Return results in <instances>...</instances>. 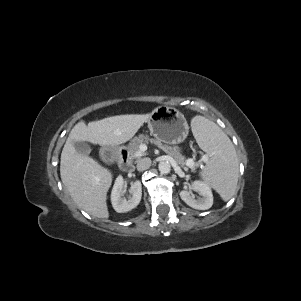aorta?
<instances>
[{"label": "aorta", "mask_w": 301, "mask_h": 301, "mask_svg": "<svg viewBox=\"0 0 301 301\" xmlns=\"http://www.w3.org/2000/svg\"><path fill=\"white\" fill-rule=\"evenodd\" d=\"M158 169L162 174H167L171 170V165L167 161H161L158 165Z\"/></svg>", "instance_id": "obj_1"}]
</instances>
